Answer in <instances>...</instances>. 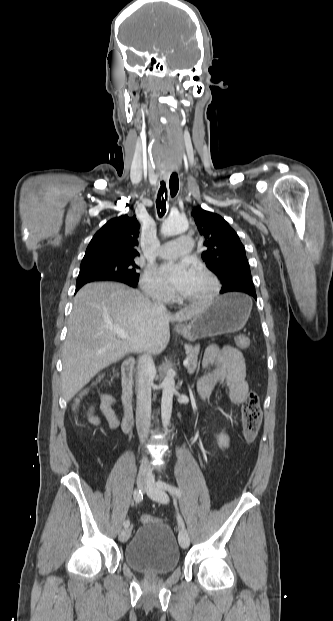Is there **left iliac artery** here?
<instances>
[{
    "label": "left iliac artery",
    "instance_id": "44dca946",
    "mask_svg": "<svg viewBox=\"0 0 333 621\" xmlns=\"http://www.w3.org/2000/svg\"><path fill=\"white\" fill-rule=\"evenodd\" d=\"M157 486L160 487L161 489H164V490L168 491L172 495H176L179 498L181 497V490L179 488L175 487V486H172V485H170V484H168V483H166L164 481H161V480H159L157 482ZM177 521H178V524L182 528H184L183 519H182V517L179 514L177 515Z\"/></svg>",
    "mask_w": 333,
    "mask_h": 621
}]
</instances>
